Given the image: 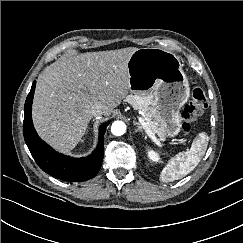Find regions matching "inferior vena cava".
<instances>
[{"label": "inferior vena cava", "mask_w": 243, "mask_h": 243, "mask_svg": "<svg viewBox=\"0 0 243 243\" xmlns=\"http://www.w3.org/2000/svg\"><path fill=\"white\" fill-rule=\"evenodd\" d=\"M90 113L92 116H95V117L101 116L104 113V106L99 102H95L90 107Z\"/></svg>", "instance_id": "inferior-vena-cava-1"}]
</instances>
